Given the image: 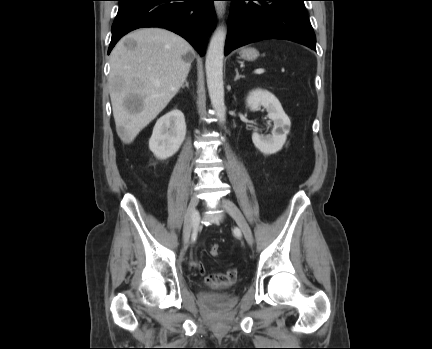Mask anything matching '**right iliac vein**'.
<instances>
[{
	"instance_id": "63e3f726",
	"label": "right iliac vein",
	"mask_w": 432,
	"mask_h": 349,
	"mask_svg": "<svg viewBox=\"0 0 432 349\" xmlns=\"http://www.w3.org/2000/svg\"><path fill=\"white\" fill-rule=\"evenodd\" d=\"M199 203V198L197 195H193L190 199L183 227V241L186 242L190 238V234L193 227L198 226L199 214L197 211V205Z\"/></svg>"
}]
</instances>
